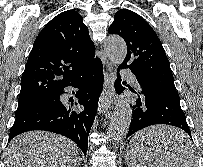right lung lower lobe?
Here are the masks:
<instances>
[{
  "label": "right lung lower lobe",
  "mask_w": 203,
  "mask_h": 167,
  "mask_svg": "<svg viewBox=\"0 0 203 167\" xmlns=\"http://www.w3.org/2000/svg\"><path fill=\"white\" fill-rule=\"evenodd\" d=\"M79 89L78 103L84 106L82 112L72 109L77 102H62L65 87ZM103 89V66L98 59L85 71L72 77L54 96L52 102L24 110L15 115L16 119L9 134V140L18 134L31 130H45L72 139L86 155L88 135L96 115L99 96Z\"/></svg>",
  "instance_id": "right-lung-lower-lobe-1"
}]
</instances>
